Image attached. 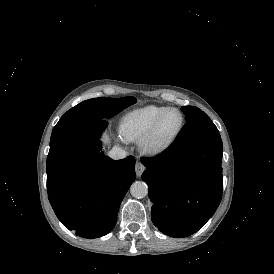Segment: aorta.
I'll list each match as a JSON object with an SVG mask.
<instances>
[{"instance_id":"1","label":"aorta","mask_w":274,"mask_h":274,"mask_svg":"<svg viewBox=\"0 0 274 274\" xmlns=\"http://www.w3.org/2000/svg\"><path fill=\"white\" fill-rule=\"evenodd\" d=\"M130 193L135 198H143L148 194V186L143 181H135L130 187Z\"/></svg>"}]
</instances>
